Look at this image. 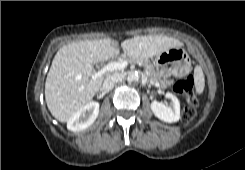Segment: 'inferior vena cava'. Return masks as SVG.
<instances>
[{
	"mask_svg": "<svg viewBox=\"0 0 245 170\" xmlns=\"http://www.w3.org/2000/svg\"><path fill=\"white\" fill-rule=\"evenodd\" d=\"M124 79V75L121 73H114L112 75H109L105 78L103 82V87L105 89L113 87L116 83L119 81H122Z\"/></svg>",
	"mask_w": 245,
	"mask_h": 170,
	"instance_id": "1",
	"label": "inferior vena cava"
}]
</instances>
